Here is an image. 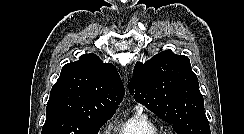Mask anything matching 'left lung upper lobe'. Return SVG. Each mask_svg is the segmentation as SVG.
Here are the masks:
<instances>
[{
    "label": "left lung upper lobe",
    "instance_id": "5c2ea615",
    "mask_svg": "<svg viewBox=\"0 0 244 134\" xmlns=\"http://www.w3.org/2000/svg\"><path fill=\"white\" fill-rule=\"evenodd\" d=\"M129 92L178 134H210L204 100L188 57L171 50L136 63Z\"/></svg>",
    "mask_w": 244,
    "mask_h": 134
}]
</instances>
